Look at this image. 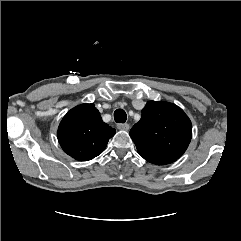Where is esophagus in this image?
Segmentation results:
<instances>
[{"label": "esophagus", "mask_w": 241, "mask_h": 241, "mask_svg": "<svg viewBox=\"0 0 241 241\" xmlns=\"http://www.w3.org/2000/svg\"><path fill=\"white\" fill-rule=\"evenodd\" d=\"M129 124H127V123H119V124H117V128L119 129V130H129Z\"/></svg>", "instance_id": "obj_1"}]
</instances>
